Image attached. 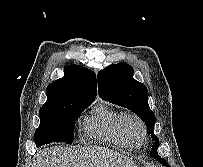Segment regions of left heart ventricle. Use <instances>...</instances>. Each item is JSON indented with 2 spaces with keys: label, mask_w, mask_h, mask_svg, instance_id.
<instances>
[{
  "label": "left heart ventricle",
  "mask_w": 203,
  "mask_h": 167,
  "mask_svg": "<svg viewBox=\"0 0 203 167\" xmlns=\"http://www.w3.org/2000/svg\"><path fill=\"white\" fill-rule=\"evenodd\" d=\"M129 132L135 142H140L141 132L139 126L136 123H131L129 125Z\"/></svg>",
  "instance_id": "b2bd125f"
}]
</instances>
